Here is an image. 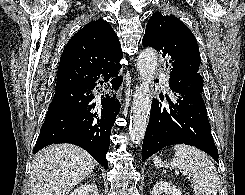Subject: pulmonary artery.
<instances>
[{
    "label": "pulmonary artery",
    "instance_id": "pulmonary-artery-1",
    "mask_svg": "<svg viewBox=\"0 0 245 195\" xmlns=\"http://www.w3.org/2000/svg\"><path fill=\"white\" fill-rule=\"evenodd\" d=\"M165 85L167 86V79L164 80Z\"/></svg>",
    "mask_w": 245,
    "mask_h": 195
}]
</instances>
